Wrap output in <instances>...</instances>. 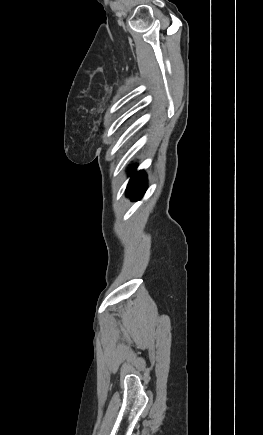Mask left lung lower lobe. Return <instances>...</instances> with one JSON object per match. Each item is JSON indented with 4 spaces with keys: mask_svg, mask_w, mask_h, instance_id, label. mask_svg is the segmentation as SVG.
<instances>
[{
    "mask_svg": "<svg viewBox=\"0 0 263 435\" xmlns=\"http://www.w3.org/2000/svg\"><path fill=\"white\" fill-rule=\"evenodd\" d=\"M135 167L130 170V174L134 173ZM146 190V175L143 171H139L133 174L128 187L127 194L136 201L140 199Z\"/></svg>",
    "mask_w": 263,
    "mask_h": 435,
    "instance_id": "1",
    "label": "left lung lower lobe"
}]
</instances>
